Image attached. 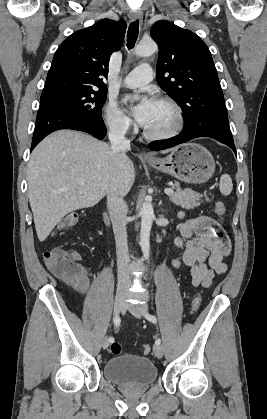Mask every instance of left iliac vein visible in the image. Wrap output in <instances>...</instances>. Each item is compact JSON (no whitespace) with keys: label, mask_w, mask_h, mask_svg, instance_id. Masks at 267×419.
<instances>
[{"label":"left iliac vein","mask_w":267,"mask_h":419,"mask_svg":"<svg viewBox=\"0 0 267 419\" xmlns=\"http://www.w3.org/2000/svg\"><path fill=\"white\" fill-rule=\"evenodd\" d=\"M124 306L137 318H140L144 313L147 312L146 305H134L126 303ZM153 352L157 358H162L163 348L160 345H154Z\"/></svg>","instance_id":"obj_1"}]
</instances>
